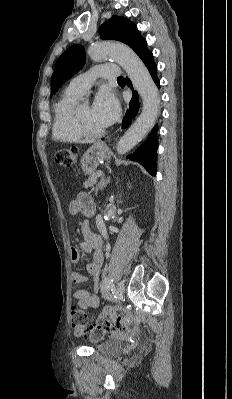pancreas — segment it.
<instances>
[{
	"label": "pancreas",
	"instance_id": "cf45deb5",
	"mask_svg": "<svg viewBox=\"0 0 232 399\" xmlns=\"http://www.w3.org/2000/svg\"><path fill=\"white\" fill-rule=\"evenodd\" d=\"M97 172H100V170H96V172H93V174H90L88 180L84 182L83 188H93L94 184H97ZM102 177V176H101ZM100 184V182H99ZM98 184V186H99Z\"/></svg>",
	"mask_w": 232,
	"mask_h": 399
}]
</instances>
